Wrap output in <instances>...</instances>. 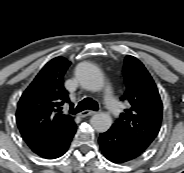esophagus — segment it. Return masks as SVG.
I'll use <instances>...</instances> for the list:
<instances>
[{
	"label": "esophagus",
	"mask_w": 184,
	"mask_h": 173,
	"mask_svg": "<svg viewBox=\"0 0 184 173\" xmlns=\"http://www.w3.org/2000/svg\"><path fill=\"white\" fill-rule=\"evenodd\" d=\"M97 112L96 111H93V110H84L82 111L79 115L80 117H86V116H91V115H94L96 114Z\"/></svg>",
	"instance_id": "34e87169"
}]
</instances>
